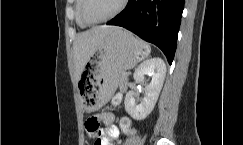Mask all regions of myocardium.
<instances>
[{
  "mask_svg": "<svg viewBox=\"0 0 243 145\" xmlns=\"http://www.w3.org/2000/svg\"><path fill=\"white\" fill-rule=\"evenodd\" d=\"M87 2H88V0H82V2H81V8H80L81 18L87 25H97V24L107 22V21L113 19L114 17L118 16L127 7L129 0H122L120 6L112 14H110L106 18L98 20V21H90L88 19L87 15H86Z\"/></svg>",
  "mask_w": 243,
  "mask_h": 145,
  "instance_id": "myocardium-1",
  "label": "myocardium"
}]
</instances>
